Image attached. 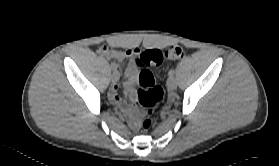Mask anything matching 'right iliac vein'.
Here are the masks:
<instances>
[{
    "label": "right iliac vein",
    "instance_id": "right-iliac-vein-1",
    "mask_svg": "<svg viewBox=\"0 0 279 166\" xmlns=\"http://www.w3.org/2000/svg\"><path fill=\"white\" fill-rule=\"evenodd\" d=\"M119 78H120V75H119L118 71H114L112 74V78H111L112 82L116 83L119 80Z\"/></svg>",
    "mask_w": 279,
    "mask_h": 166
}]
</instances>
